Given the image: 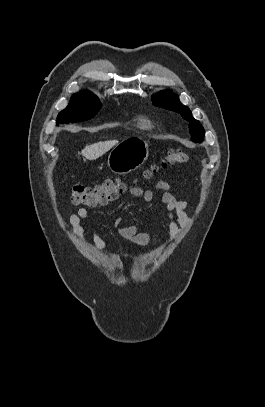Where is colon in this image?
<instances>
[{
	"label": "colon",
	"mask_w": 265,
	"mask_h": 407,
	"mask_svg": "<svg viewBox=\"0 0 265 407\" xmlns=\"http://www.w3.org/2000/svg\"><path fill=\"white\" fill-rule=\"evenodd\" d=\"M188 160L189 155L186 152L179 149H170L166 152L161 166L184 164ZM156 169V166L153 167L148 172V175ZM125 189L126 185L120 178H108L95 185L74 184L71 187V201L75 205L93 207L115 199Z\"/></svg>",
	"instance_id": "colon-1"
}]
</instances>
